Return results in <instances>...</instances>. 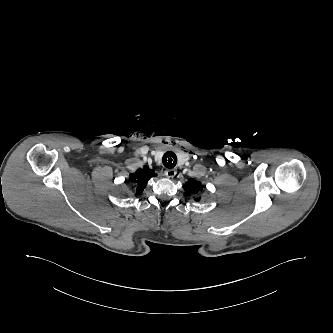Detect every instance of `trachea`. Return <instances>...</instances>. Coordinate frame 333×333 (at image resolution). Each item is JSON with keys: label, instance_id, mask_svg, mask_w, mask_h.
<instances>
[{"label": "trachea", "instance_id": "trachea-1", "mask_svg": "<svg viewBox=\"0 0 333 333\" xmlns=\"http://www.w3.org/2000/svg\"><path fill=\"white\" fill-rule=\"evenodd\" d=\"M163 165L166 168H173L177 164V156L174 152L168 151L163 155Z\"/></svg>", "mask_w": 333, "mask_h": 333}]
</instances>
